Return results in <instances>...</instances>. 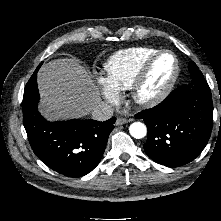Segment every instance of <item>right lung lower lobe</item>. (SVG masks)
<instances>
[{
  "label": "right lung lower lobe",
  "mask_w": 221,
  "mask_h": 221,
  "mask_svg": "<svg viewBox=\"0 0 221 221\" xmlns=\"http://www.w3.org/2000/svg\"><path fill=\"white\" fill-rule=\"evenodd\" d=\"M23 96V121L30 145L48 167L69 177H81L99 163L116 118L104 122L72 119L48 122L37 110V71Z\"/></svg>",
  "instance_id": "98d812e1"
}]
</instances>
